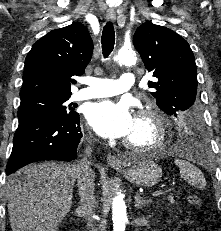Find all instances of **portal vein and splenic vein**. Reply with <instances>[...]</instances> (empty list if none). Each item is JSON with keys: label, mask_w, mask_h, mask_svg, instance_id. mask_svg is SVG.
I'll return each instance as SVG.
<instances>
[{"label": "portal vein and splenic vein", "mask_w": 221, "mask_h": 231, "mask_svg": "<svg viewBox=\"0 0 221 231\" xmlns=\"http://www.w3.org/2000/svg\"><path fill=\"white\" fill-rule=\"evenodd\" d=\"M163 193V191L159 190V191H155L154 193H152L153 197H158Z\"/></svg>", "instance_id": "18ae733b"}]
</instances>
